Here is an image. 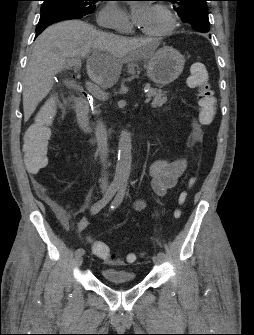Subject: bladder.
<instances>
[{
	"instance_id": "1",
	"label": "bladder",
	"mask_w": 254,
	"mask_h": 335,
	"mask_svg": "<svg viewBox=\"0 0 254 335\" xmlns=\"http://www.w3.org/2000/svg\"><path fill=\"white\" fill-rule=\"evenodd\" d=\"M103 279L111 285L132 284L136 281L133 271L117 267L104 268L101 270Z\"/></svg>"
}]
</instances>
